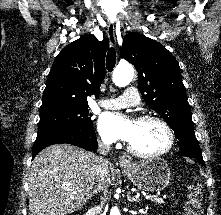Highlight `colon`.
Wrapping results in <instances>:
<instances>
[{"label":"colon","mask_w":221,"mask_h":215,"mask_svg":"<svg viewBox=\"0 0 221 215\" xmlns=\"http://www.w3.org/2000/svg\"><path fill=\"white\" fill-rule=\"evenodd\" d=\"M202 213V194L198 187L192 186L185 207L184 215H201Z\"/></svg>","instance_id":"obj_1"}]
</instances>
